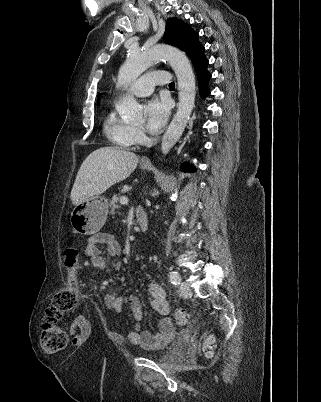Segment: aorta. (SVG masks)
<instances>
[{
    "instance_id": "1",
    "label": "aorta",
    "mask_w": 321,
    "mask_h": 402,
    "mask_svg": "<svg viewBox=\"0 0 321 402\" xmlns=\"http://www.w3.org/2000/svg\"><path fill=\"white\" fill-rule=\"evenodd\" d=\"M158 60H166L172 67L179 90L177 112L162 138L161 150L167 154L180 139L194 108L195 75L186 54L169 45H156L144 51L131 49L119 69L118 83L126 88ZM116 108L120 115L127 118L137 119L142 116V106L132 96L123 97Z\"/></svg>"
}]
</instances>
